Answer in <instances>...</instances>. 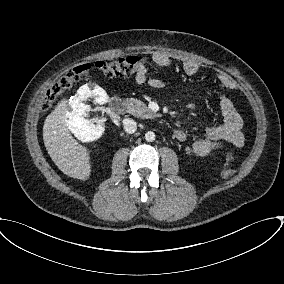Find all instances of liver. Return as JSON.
<instances>
[{
    "mask_svg": "<svg viewBox=\"0 0 284 284\" xmlns=\"http://www.w3.org/2000/svg\"><path fill=\"white\" fill-rule=\"evenodd\" d=\"M67 106V101L62 100L46 117L43 141L49 156L64 174L85 181L91 175L89 152L70 133Z\"/></svg>",
    "mask_w": 284,
    "mask_h": 284,
    "instance_id": "1",
    "label": "liver"
}]
</instances>
